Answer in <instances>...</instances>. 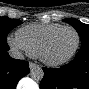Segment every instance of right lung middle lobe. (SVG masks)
<instances>
[{
  "instance_id": "1",
  "label": "right lung middle lobe",
  "mask_w": 89,
  "mask_h": 89,
  "mask_svg": "<svg viewBox=\"0 0 89 89\" xmlns=\"http://www.w3.org/2000/svg\"><path fill=\"white\" fill-rule=\"evenodd\" d=\"M20 24V20L0 17V43L6 42L8 33Z\"/></svg>"
}]
</instances>
